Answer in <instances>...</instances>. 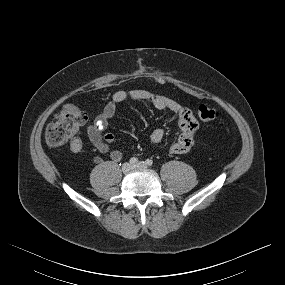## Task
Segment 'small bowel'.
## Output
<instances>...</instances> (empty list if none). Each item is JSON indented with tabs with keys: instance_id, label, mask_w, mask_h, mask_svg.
I'll use <instances>...</instances> for the list:
<instances>
[{
	"instance_id": "small-bowel-1",
	"label": "small bowel",
	"mask_w": 285,
	"mask_h": 285,
	"mask_svg": "<svg viewBox=\"0 0 285 285\" xmlns=\"http://www.w3.org/2000/svg\"><path fill=\"white\" fill-rule=\"evenodd\" d=\"M126 100L145 101L153 105L158 110H168L177 118L180 134L177 140L171 145L172 154H184L190 151L194 144L195 134L199 128L198 122L192 112L178 102L168 97L155 94L143 89L119 90L115 92L103 111L95 118L94 122L87 125V136L92 145L98 152L106 154L110 152V158L114 162L122 159V152L119 150L110 151V144L114 141L115 136L112 132H104L108 126L109 120L114 116L119 104ZM165 137L163 129H156L151 134V141L154 144H160ZM69 147L71 152L80 153L83 148V142L77 135L71 138ZM93 162H99L100 158H92Z\"/></svg>"
}]
</instances>
